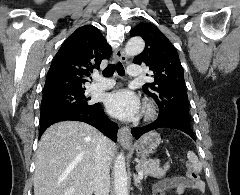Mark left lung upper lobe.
Returning a JSON list of instances; mask_svg holds the SVG:
<instances>
[{
	"label": "left lung upper lobe",
	"mask_w": 240,
	"mask_h": 195,
	"mask_svg": "<svg viewBox=\"0 0 240 195\" xmlns=\"http://www.w3.org/2000/svg\"><path fill=\"white\" fill-rule=\"evenodd\" d=\"M130 35L140 36L145 41L144 51L133 62L148 66L154 73V82L145 84L143 91L156 101L159 117L175 116L190 121L183 67L176 49L150 23H139Z\"/></svg>",
	"instance_id": "5c2ea615"
}]
</instances>
